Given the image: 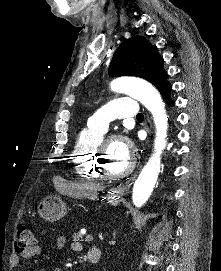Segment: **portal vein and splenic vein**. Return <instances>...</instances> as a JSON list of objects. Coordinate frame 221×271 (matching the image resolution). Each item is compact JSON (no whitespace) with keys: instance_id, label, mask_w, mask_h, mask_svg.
Returning a JSON list of instances; mask_svg holds the SVG:
<instances>
[{"instance_id":"1","label":"portal vein and splenic vein","mask_w":221,"mask_h":271,"mask_svg":"<svg viewBox=\"0 0 221 271\" xmlns=\"http://www.w3.org/2000/svg\"><path fill=\"white\" fill-rule=\"evenodd\" d=\"M94 235L88 234L87 237H84V242H93Z\"/></svg>"}]
</instances>
